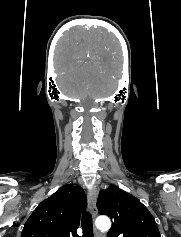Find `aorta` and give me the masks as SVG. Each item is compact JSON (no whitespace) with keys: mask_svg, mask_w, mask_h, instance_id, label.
Segmentation results:
<instances>
[{"mask_svg":"<svg viewBox=\"0 0 181 237\" xmlns=\"http://www.w3.org/2000/svg\"><path fill=\"white\" fill-rule=\"evenodd\" d=\"M95 224H96V227L100 229L101 231H107L111 227L110 219L106 216H99L96 219Z\"/></svg>","mask_w":181,"mask_h":237,"instance_id":"1","label":"aorta"}]
</instances>
